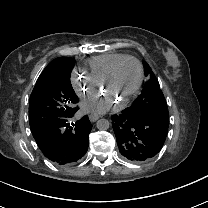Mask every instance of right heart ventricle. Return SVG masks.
<instances>
[{
    "mask_svg": "<svg viewBox=\"0 0 208 208\" xmlns=\"http://www.w3.org/2000/svg\"><path fill=\"white\" fill-rule=\"evenodd\" d=\"M124 55L119 53H107L93 57L87 61L90 75L99 83L110 71L112 66Z\"/></svg>",
    "mask_w": 208,
    "mask_h": 208,
    "instance_id": "e07e8e85",
    "label": "right heart ventricle"
}]
</instances>
